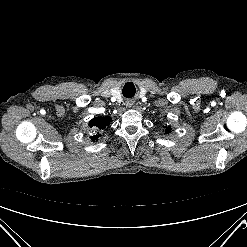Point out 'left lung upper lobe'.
<instances>
[{"label": "left lung upper lobe", "instance_id": "5c2ea615", "mask_svg": "<svg viewBox=\"0 0 247 247\" xmlns=\"http://www.w3.org/2000/svg\"><path fill=\"white\" fill-rule=\"evenodd\" d=\"M170 127H167V129L165 130V133H169L170 132Z\"/></svg>", "mask_w": 247, "mask_h": 247}]
</instances>
